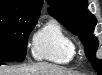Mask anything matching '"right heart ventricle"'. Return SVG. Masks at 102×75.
I'll return each instance as SVG.
<instances>
[{
    "instance_id": "1",
    "label": "right heart ventricle",
    "mask_w": 102,
    "mask_h": 75,
    "mask_svg": "<svg viewBox=\"0 0 102 75\" xmlns=\"http://www.w3.org/2000/svg\"><path fill=\"white\" fill-rule=\"evenodd\" d=\"M75 50L73 39L56 21H50L35 35L33 55L38 60L69 63Z\"/></svg>"
}]
</instances>
